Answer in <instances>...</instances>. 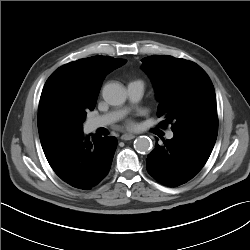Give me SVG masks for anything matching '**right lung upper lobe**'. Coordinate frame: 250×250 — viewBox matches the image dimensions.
Segmentation results:
<instances>
[{"instance_id": "right-lung-upper-lobe-1", "label": "right lung upper lobe", "mask_w": 250, "mask_h": 250, "mask_svg": "<svg viewBox=\"0 0 250 250\" xmlns=\"http://www.w3.org/2000/svg\"><path fill=\"white\" fill-rule=\"evenodd\" d=\"M124 59L93 56L59 67L46 81L39 103L38 130L42 148L73 135L95 108L105 76Z\"/></svg>"}]
</instances>
